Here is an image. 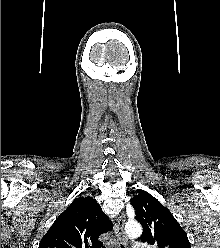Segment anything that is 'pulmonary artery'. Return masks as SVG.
I'll return each instance as SVG.
<instances>
[{"label":"pulmonary artery","mask_w":220,"mask_h":248,"mask_svg":"<svg viewBox=\"0 0 220 248\" xmlns=\"http://www.w3.org/2000/svg\"><path fill=\"white\" fill-rule=\"evenodd\" d=\"M134 248H147L145 244L139 243L134 246Z\"/></svg>","instance_id":"1"}]
</instances>
